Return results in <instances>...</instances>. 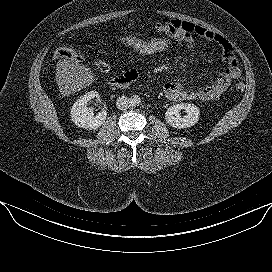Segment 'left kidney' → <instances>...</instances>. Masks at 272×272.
Returning a JSON list of instances; mask_svg holds the SVG:
<instances>
[{"instance_id": "obj_1", "label": "left kidney", "mask_w": 272, "mask_h": 272, "mask_svg": "<svg viewBox=\"0 0 272 272\" xmlns=\"http://www.w3.org/2000/svg\"><path fill=\"white\" fill-rule=\"evenodd\" d=\"M184 109L185 116L179 114L180 110ZM200 116V111L194 104L182 103L169 107L165 113L166 122L178 129L188 128L195 125Z\"/></svg>"}]
</instances>
